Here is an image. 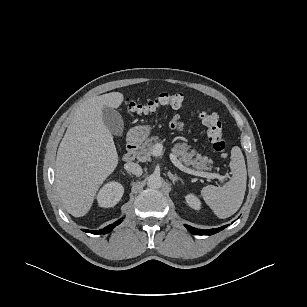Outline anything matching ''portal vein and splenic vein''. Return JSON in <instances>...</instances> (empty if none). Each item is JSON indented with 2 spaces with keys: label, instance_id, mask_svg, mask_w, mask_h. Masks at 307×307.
<instances>
[{
  "label": "portal vein and splenic vein",
  "instance_id": "obj_1",
  "mask_svg": "<svg viewBox=\"0 0 307 307\" xmlns=\"http://www.w3.org/2000/svg\"><path fill=\"white\" fill-rule=\"evenodd\" d=\"M162 151H163V145L160 144V143H156L153 147V150H152V155L154 156H160L162 155ZM170 157V160L172 161V163L178 167L180 170L188 173V174H192V175H195V176H200V177H204V178H207V179H219L220 181H224L225 180V177L224 176H221L217 173H208V172H202V171H196V170H192L190 168H187L186 166H184L176 157L175 154L173 153H170L169 155Z\"/></svg>",
  "mask_w": 307,
  "mask_h": 307
}]
</instances>
